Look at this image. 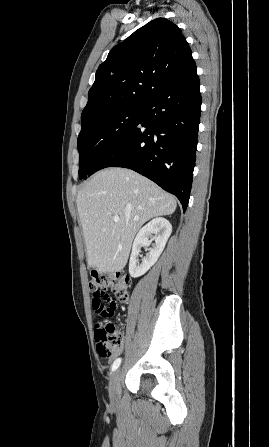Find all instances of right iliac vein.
Returning <instances> with one entry per match:
<instances>
[{"label": "right iliac vein", "mask_w": 269, "mask_h": 447, "mask_svg": "<svg viewBox=\"0 0 269 447\" xmlns=\"http://www.w3.org/2000/svg\"><path fill=\"white\" fill-rule=\"evenodd\" d=\"M121 371L120 369L114 371L110 378V384H109V394H110V400L112 404L117 405L120 399V379H121Z\"/></svg>", "instance_id": "1"}]
</instances>
